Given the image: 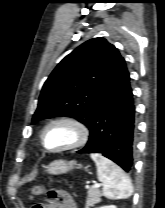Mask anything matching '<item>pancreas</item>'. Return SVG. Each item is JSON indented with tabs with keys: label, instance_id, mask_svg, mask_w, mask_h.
<instances>
[{
	"label": "pancreas",
	"instance_id": "obj_1",
	"mask_svg": "<svg viewBox=\"0 0 165 208\" xmlns=\"http://www.w3.org/2000/svg\"><path fill=\"white\" fill-rule=\"evenodd\" d=\"M100 197H101V192L96 188H91L88 191V194H87V200H86V207L85 208H89V207L101 202Z\"/></svg>",
	"mask_w": 165,
	"mask_h": 208
}]
</instances>
